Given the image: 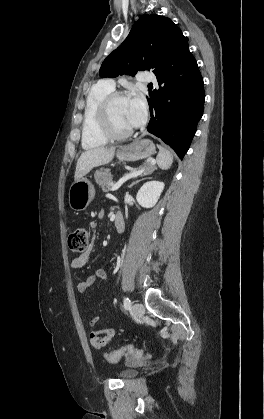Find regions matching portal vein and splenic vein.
Instances as JSON below:
<instances>
[{"instance_id": "portal-vein-and-splenic-vein-1", "label": "portal vein and splenic vein", "mask_w": 264, "mask_h": 419, "mask_svg": "<svg viewBox=\"0 0 264 419\" xmlns=\"http://www.w3.org/2000/svg\"><path fill=\"white\" fill-rule=\"evenodd\" d=\"M143 171L144 169H141V170L132 169V171L129 174L124 175V177L121 178L116 184H113L111 187V190L112 191L118 190L128 179H131L140 175Z\"/></svg>"}]
</instances>
